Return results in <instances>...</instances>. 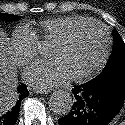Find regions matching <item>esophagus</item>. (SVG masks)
Returning a JSON list of instances; mask_svg holds the SVG:
<instances>
[{"label":"esophagus","mask_w":125,"mask_h":125,"mask_svg":"<svg viewBox=\"0 0 125 125\" xmlns=\"http://www.w3.org/2000/svg\"><path fill=\"white\" fill-rule=\"evenodd\" d=\"M36 92L40 94H48L50 91L49 90H37Z\"/></svg>","instance_id":"esophagus-1"}]
</instances>
